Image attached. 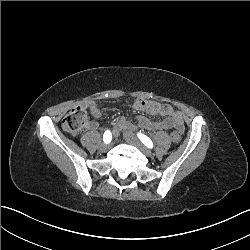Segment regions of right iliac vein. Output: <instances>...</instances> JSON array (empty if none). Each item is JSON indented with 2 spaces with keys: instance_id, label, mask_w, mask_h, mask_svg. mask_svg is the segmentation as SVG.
Listing matches in <instances>:
<instances>
[{
  "instance_id": "right-iliac-vein-1",
  "label": "right iliac vein",
  "mask_w": 250,
  "mask_h": 250,
  "mask_svg": "<svg viewBox=\"0 0 250 250\" xmlns=\"http://www.w3.org/2000/svg\"><path fill=\"white\" fill-rule=\"evenodd\" d=\"M108 148H109V145L106 144V143H102V144L100 145V150H101V151H106Z\"/></svg>"
}]
</instances>
